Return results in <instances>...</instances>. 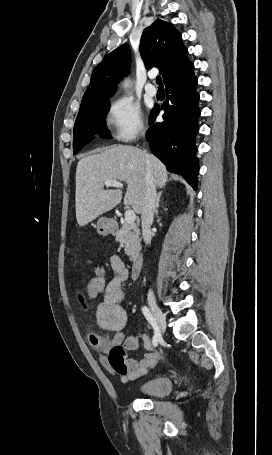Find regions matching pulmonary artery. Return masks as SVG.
Masks as SVG:
<instances>
[{
  "instance_id": "e3ab8cb5",
  "label": "pulmonary artery",
  "mask_w": 272,
  "mask_h": 455,
  "mask_svg": "<svg viewBox=\"0 0 272 455\" xmlns=\"http://www.w3.org/2000/svg\"><path fill=\"white\" fill-rule=\"evenodd\" d=\"M150 78H153V76H150ZM145 92L148 96H151V97H154L157 94L156 88L151 83L146 84Z\"/></svg>"
}]
</instances>
